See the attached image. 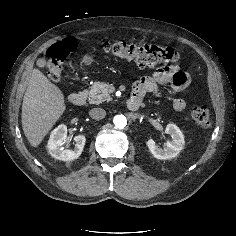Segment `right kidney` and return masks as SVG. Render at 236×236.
Here are the masks:
<instances>
[{"label":"right kidney","instance_id":"obj_1","mask_svg":"<svg viewBox=\"0 0 236 236\" xmlns=\"http://www.w3.org/2000/svg\"><path fill=\"white\" fill-rule=\"evenodd\" d=\"M67 131V126L61 124L51 132L47 148L50 155L57 160L71 161L77 159L83 151L86 142L84 135L74 137L76 144L73 150L64 149L63 146L67 142Z\"/></svg>","mask_w":236,"mask_h":236}]
</instances>
